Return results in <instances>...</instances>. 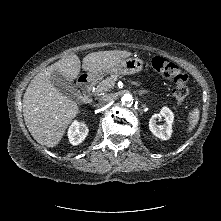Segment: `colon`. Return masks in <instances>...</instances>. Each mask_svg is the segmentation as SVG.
Wrapping results in <instances>:
<instances>
[{
    "label": "colon",
    "mask_w": 221,
    "mask_h": 221,
    "mask_svg": "<svg viewBox=\"0 0 221 221\" xmlns=\"http://www.w3.org/2000/svg\"><path fill=\"white\" fill-rule=\"evenodd\" d=\"M151 67L154 71L165 78L172 80L173 95L179 103H183L189 94V76L183 72L176 64L163 57L156 56L151 60Z\"/></svg>",
    "instance_id": "obj_1"
}]
</instances>
